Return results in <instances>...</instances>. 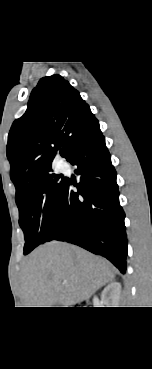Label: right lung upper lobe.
<instances>
[{"label":"right lung upper lobe","instance_id":"right-lung-upper-lobe-1","mask_svg":"<svg viewBox=\"0 0 152 369\" xmlns=\"http://www.w3.org/2000/svg\"><path fill=\"white\" fill-rule=\"evenodd\" d=\"M99 122L79 92L60 75L42 78L28 108L10 129L7 157L16 197L48 173L60 146L69 160L75 149L99 130Z\"/></svg>","mask_w":152,"mask_h":369}]
</instances>
